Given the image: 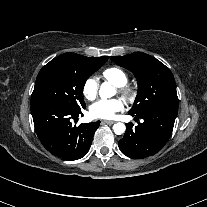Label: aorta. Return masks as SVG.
Masks as SVG:
<instances>
[{
	"instance_id": "aorta-1",
	"label": "aorta",
	"mask_w": 207,
	"mask_h": 207,
	"mask_svg": "<svg viewBox=\"0 0 207 207\" xmlns=\"http://www.w3.org/2000/svg\"><path fill=\"white\" fill-rule=\"evenodd\" d=\"M115 94H116V90L110 83L104 82L101 85L99 90V95L101 98L105 99V98L113 97ZM113 130L115 134L121 135L125 132L126 127L123 123L118 122L113 125Z\"/></svg>"
}]
</instances>
